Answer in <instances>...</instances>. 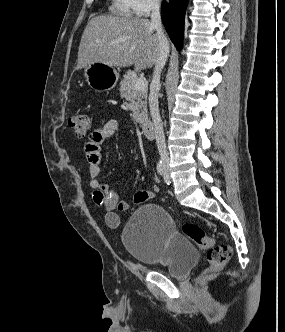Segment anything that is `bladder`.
Instances as JSON below:
<instances>
[{"mask_svg":"<svg viewBox=\"0 0 285 332\" xmlns=\"http://www.w3.org/2000/svg\"><path fill=\"white\" fill-rule=\"evenodd\" d=\"M122 242L134 260L163 266L172 277L186 275L198 258L194 245L176 231L171 215L156 204H144L134 211Z\"/></svg>","mask_w":285,"mask_h":332,"instance_id":"bladder-1","label":"bladder"}]
</instances>
